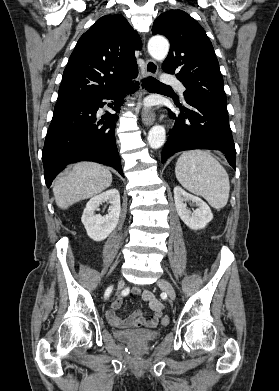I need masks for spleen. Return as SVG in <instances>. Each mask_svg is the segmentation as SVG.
I'll return each instance as SVG.
<instances>
[{"instance_id": "spleen-1", "label": "spleen", "mask_w": 279, "mask_h": 391, "mask_svg": "<svg viewBox=\"0 0 279 391\" xmlns=\"http://www.w3.org/2000/svg\"><path fill=\"white\" fill-rule=\"evenodd\" d=\"M175 174L185 189L205 198L213 208L219 210L226 206L230 192L229 177L209 152H183L177 160Z\"/></svg>"}]
</instances>
